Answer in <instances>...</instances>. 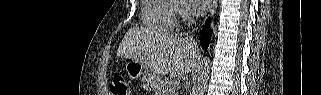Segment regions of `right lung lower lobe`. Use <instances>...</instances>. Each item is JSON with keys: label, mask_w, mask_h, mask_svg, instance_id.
<instances>
[{"label": "right lung lower lobe", "mask_w": 321, "mask_h": 95, "mask_svg": "<svg viewBox=\"0 0 321 95\" xmlns=\"http://www.w3.org/2000/svg\"><path fill=\"white\" fill-rule=\"evenodd\" d=\"M209 22H210V18H208L206 25L203 27L202 32H201L202 36H201L200 45L204 50L207 49L210 39H211L212 31L209 29ZM206 28H207V30H206Z\"/></svg>", "instance_id": "right-lung-lower-lobe-1"}]
</instances>
